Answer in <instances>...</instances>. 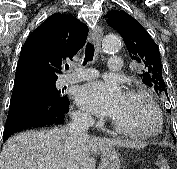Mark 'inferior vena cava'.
<instances>
[{"mask_svg":"<svg viewBox=\"0 0 177 169\" xmlns=\"http://www.w3.org/2000/svg\"><path fill=\"white\" fill-rule=\"evenodd\" d=\"M93 124V119L88 115L77 116L73 122L65 127L66 132L74 136H87V131Z\"/></svg>","mask_w":177,"mask_h":169,"instance_id":"602c4592","label":"inferior vena cava"}]
</instances>
